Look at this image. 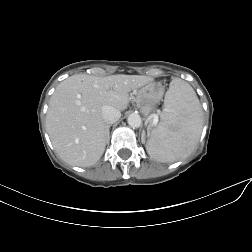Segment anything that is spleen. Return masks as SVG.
<instances>
[{
    "instance_id": "1",
    "label": "spleen",
    "mask_w": 252,
    "mask_h": 252,
    "mask_svg": "<svg viewBox=\"0 0 252 252\" xmlns=\"http://www.w3.org/2000/svg\"><path fill=\"white\" fill-rule=\"evenodd\" d=\"M162 122L149 133L148 154L160 162L187 157L195 148L202 128L203 112L193 88L176 78L164 98Z\"/></svg>"
}]
</instances>
